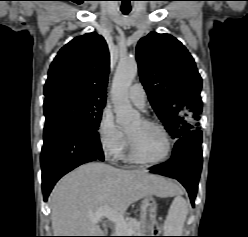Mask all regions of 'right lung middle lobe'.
Masks as SVG:
<instances>
[{"label": "right lung middle lobe", "mask_w": 248, "mask_h": 237, "mask_svg": "<svg viewBox=\"0 0 248 237\" xmlns=\"http://www.w3.org/2000/svg\"><path fill=\"white\" fill-rule=\"evenodd\" d=\"M103 101L60 97L44 102L45 126H59L80 131L98 130Z\"/></svg>", "instance_id": "right-lung-middle-lobe-1"}]
</instances>
